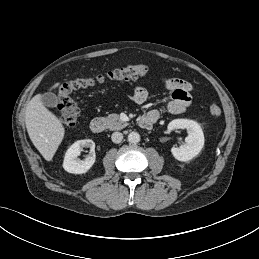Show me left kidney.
Here are the masks:
<instances>
[{
	"mask_svg": "<svg viewBox=\"0 0 259 259\" xmlns=\"http://www.w3.org/2000/svg\"><path fill=\"white\" fill-rule=\"evenodd\" d=\"M168 129H186L188 131L186 144H183L180 147H173L171 149L175 159L186 162L200 153L204 146V134L201 126L196 121L189 119H175L168 124Z\"/></svg>",
	"mask_w": 259,
	"mask_h": 259,
	"instance_id": "left-kidney-1",
	"label": "left kidney"
}]
</instances>
